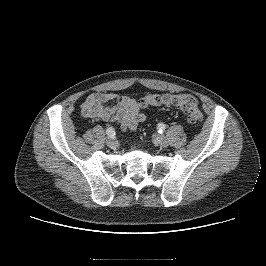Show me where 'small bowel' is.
Listing matches in <instances>:
<instances>
[{
    "mask_svg": "<svg viewBox=\"0 0 266 266\" xmlns=\"http://www.w3.org/2000/svg\"><path fill=\"white\" fill-rule=\"evenodd\" d=\"M111 102L114 104L108 105ZM81 115L86 119L113 122L129 131L146 120L136 99L114 92L91 93L81 105Z\"/></svg>",
    "mask_w": 266,
    "mask_h": 266,
    "instance_id": "small-bowel-1",
    "label": "small bowel"
}]
</instances>
